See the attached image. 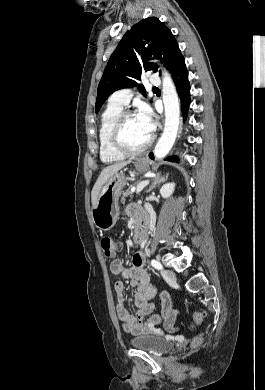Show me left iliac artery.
<instances>
[{
  "mask_svg": "<svg viewBox=\"0 0 265 390\" xmlns=\"http://www.w3.org/2000/svg\"><path fill=\"white\" fill-rule=\"evenodd\" d=\"M151 265L154 268H156V269H162L163 268L161 263L159 261L155 260V259L151 260Z\"/></svg>",
  "mask_w": 265,
  "mask_h": 390,
  "instance_id": "obj_1",
  "label": "left iliac artery"
}]
</instances>
